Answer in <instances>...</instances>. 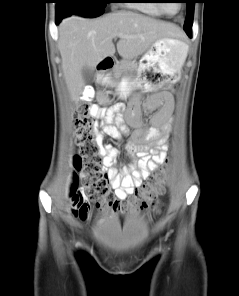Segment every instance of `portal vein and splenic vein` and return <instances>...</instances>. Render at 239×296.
<instances>
[{
  "instance_id": "18ae733b",
  "label": "portal vein and splenic vein",
  "mask_w": 239,
  "mask_h": 296,
  "mask_svg": "<svg viewBox=\"0 0 239 296\" xmlns=\"http://www.w3.org/2000/svg\"><path fill=\"white\" fill-rule=\"evenodd\" d=\"M113 36H114V37H116V36L126 37L125 35H123V34H119V33H115V34H113Z\"/></svg>"
}]
</instances>
